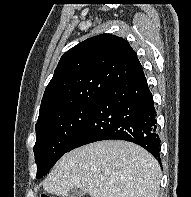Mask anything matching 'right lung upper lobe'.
Segmentation results:
<instances>
[{"label": "right lung upper lobe", "instance_id": "1", "mask_svg": "<svg viewBox=\"0 0 191 197\" xmlns=\"http://www.w3.org/2000/svg\"><path fill=\"white\" fill-rule=\"evenodd\" d=\"M143 71L129 43L102 34L67 51L43 95L38 121L57 111L98 101L114 84Z\"/></svg>", "mask_w": 191, "mask_h": 197}]
</instances>
